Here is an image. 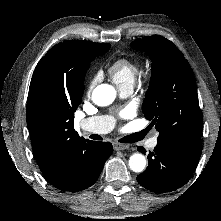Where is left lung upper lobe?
Returning a JSON list of instances; mask_svg holds the SVG:
<instances>
[{"label":"left lung upper lobe","instance_id":"5c2ea615","mask_svg":"<svg viewBox=\"0 0 221 221\" xmlns=\"http://www.w3.org/2000/svg\"><path fill=\"white\" fill-rule=\"evenodd\" d=\"M131 46L152 59V77L142 109L152 121L149 126L159 132L157 141L200 144L203 115L196 80L183 53L160 35L136 39Z\"/></svg>","mask_w":221,"mask_h":221}]
</instances>
